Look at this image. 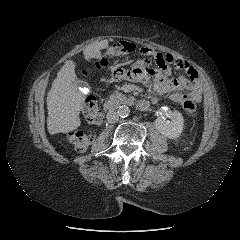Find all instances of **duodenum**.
Instances as JSON below:
<instances>
[{"mask_svg": "<svg viewBox=\"0 0 240 240\" xmlns=\"http://www.w3.org/2000/svg\"><path fill=\"white\" fill-rule=\"evenodd\" d=\"M118 103L115 100H108L105 104V108L108 111H113L117 108ZM135 106L140 111H146L149 108V104L145 100H139L135 102Z\"/></svg>", "mask_w": 240, "mask_h": 240, "instance_id": "obj_1", "label": "duodenum"}]
</instances>
